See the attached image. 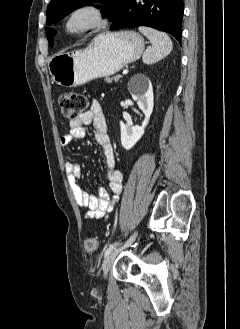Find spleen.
I'll use <instances>...</instances> for the list:
<instances>
[{
  "label": "spleen",
  "mask_w": 240,
  "mask_h": 329,
  "mask_svg": "<svg viewBox=\"0 0 240 329\" xmlns=\"http://www.w3.org/2000/svg\"><path fill=\"white\" fill-rule=\"evenodd\" d=\"M138 30L145 35L152 46L143 53L142 60L145 64H153L166 57L173 48L170 37L161 31L149 28L139 27Z\"/></svg>",
  "instance_id": "1"
}]
</instances>
